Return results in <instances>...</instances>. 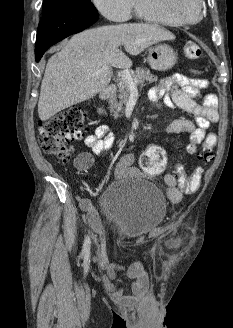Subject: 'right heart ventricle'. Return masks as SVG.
Instances as JSON below:
<instances>
[{"mask_svg": "<svg viewBox=\"0 0 233 328\" xmlns=\"http://www.w3.org/2000/svg\"><path fill=\"white\" fill-rule=\"evenodd\" d=\"M135 15L142 20L148 21V22H154V23H159L163 25H168V26H177L176 23L173 21L169 20L168 18L159 15L149 8L146 7L145 1L144 0H135L134 1V6H133Z\"/></svg>", "mask_w": 233, "mask_h": 328, "instance_id": "1", "label": "right heart ventricle"}]
</instances>
